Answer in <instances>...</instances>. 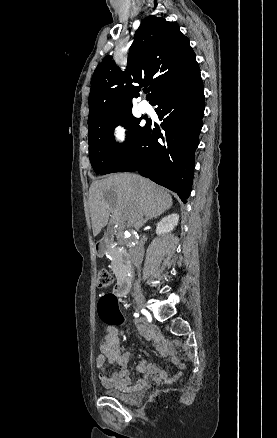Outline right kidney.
Returning a JSON list of instances; mask_svg holds the SVG:
<instances>
[{"instance_id": "right-kidney-1", "label": "right kidney", "mask_w": 277, "mask_h": 438, "mask_svg": "<svg viewBox=\"0 0 277 438\" xmlns=\"http://www.w3.org/2000/svg\"><path fill=\"white\" fill-rule=\"evenodd\" d=\"M179 222V214H170V216H166L163 218L159 224H157L156 234L161 236V234H168V232H172L175 226H178Z\"/></svg>"}]
</instances>
